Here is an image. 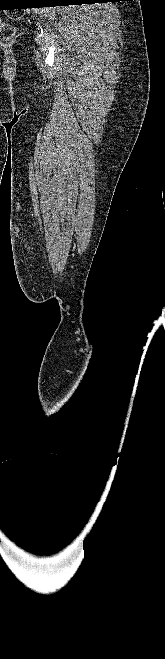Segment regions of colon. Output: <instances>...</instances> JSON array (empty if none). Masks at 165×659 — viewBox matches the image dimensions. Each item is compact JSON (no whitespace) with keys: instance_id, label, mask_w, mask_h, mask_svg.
Segmentation results:
<instances>
[{"instance_id":"5ec220e1","label":"colon","mask_w":165,"mask_h":659,"mask_svg":"<svg viewBox=\"0 0 165 659\" xmlns=\"http://www.w3.org/2000/svg\"><path fill=\"white\" fill-rule=\"evenodd\" d=\"M16 33V29L13 25L7 21L0 18V39L8 40L12 38Z\"/></svg>"}]
</instances>
